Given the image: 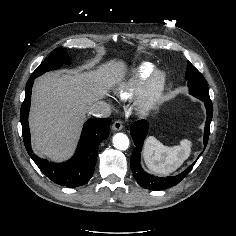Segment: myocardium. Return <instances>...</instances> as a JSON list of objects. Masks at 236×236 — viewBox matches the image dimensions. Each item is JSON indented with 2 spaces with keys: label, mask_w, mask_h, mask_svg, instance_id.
Here are the masks:
<instances>
[{
  "label": "myocardium",
  "mask_w": 236,
  "mask_h": 236,
  "mask_svg": "<svg viewBox=\"0 0 236 236\" xmlns=\"http://www.w3.org/2000/svg\"><path fill=\"white\" fill-rule=\"evenodd\" d=\"M167 83V75L164 71H155L145 84L137 103V111L147 114L159 102Z\"/></svg>",
  "instance_id": "f54148a6"
}]
</instances>
